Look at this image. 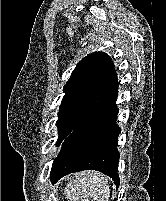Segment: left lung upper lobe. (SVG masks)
Here are the masks:
<instances>
[{"instance_id": "1", "label": "left lung upper lobe", "mask_w": 166, "mask_h": 201, "mask_svg": "<svg viewBox=\"0 0 166 201\" xmlns=\"http://www.w3.org/2000/svg\"><path fill=\"white\" fill-rule=\"evenodd\" d=\"M117 89L114 64L106 53L95 52L83 58L64 87L56 122L59 128L56 145L97 112Z\"/></svg>"}]
</instances>
